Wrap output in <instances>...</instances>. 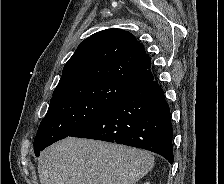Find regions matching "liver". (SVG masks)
Instances as JSON below:
<instances>
[{"mask_svg": "<svg viewBox=\"0 0 224 184\" xmlns=\"http://www.w3.org/2000/svg\"><path fill=\"white\" fill-rule=\"evenodd\" d=\"M153 166L148 151L68 137L41 153L38 173L41 184H136Z\"/></svg>", "mask_w": 224, "mask_h": 184, "instance_id": "liver-1", "label": "liver"}]
</instances>
